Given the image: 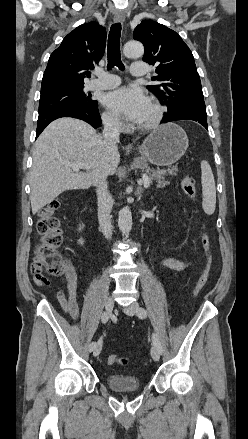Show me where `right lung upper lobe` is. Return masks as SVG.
I'll return each instance as SVG.
<instances>
[{
    "label": "right lung upper lobe",
    "instance_id": "obj_1",
    "mask_svg": "<svg viewBox=\"0 0 248 439\" xmlns=\"http://www.w3.org/2000/svg\"><path fill=\"white\" fill-rule=\"evenodd\" d=\"M106 30L97 22L84 23L70 32L51 54L43 75L41 95L84 86L89 69L100 61Z\"/></svg>",
    "mask_w": 248,
    "mask_h": 439
}]
</instances>
